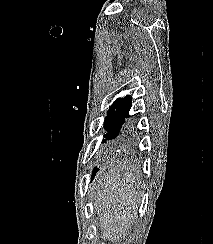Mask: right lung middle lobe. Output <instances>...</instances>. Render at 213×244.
<instances>
[{"mask_svg":"<svg viewBox=\"0 0 213 244\" xmlns=\"http://www.w3.org/2000/svg\"><path fill=\"white\" fill-rule=\"evenodd\" d=\"M131 108L130 98L117 99L108 111V116L105 118L104 127L107 131L105 138L113 140L118 138L123 132V124L125 118L129 117V110ZM116 109V110H115ZM105 141V140H104Z\"/></svg>","mask_w":213,"mask_h":244,"instance_id":"1","label":"right lung middle lobe"}]
</instances>
